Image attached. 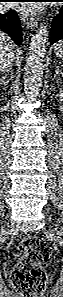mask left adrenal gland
<instances>
[{"label":"left adrenal gland","mask_w":63,"mask_h":297,"mask_svg":"<svg viewBox=\"0 0 63 297\" xmlns=\"http://www.w3.org/2000/svg\"><path fill=\"white\" fill-rule=\"evenodd\" d=\"M59 74H62V71L60 70L59 66H56V71H55V74H54V78H56L57 75H59Z\"/></svg>","instance_id":"left-adrenal-gland-1"}]
</instances>
